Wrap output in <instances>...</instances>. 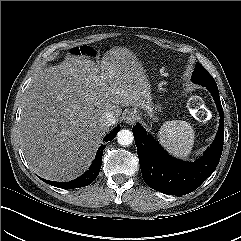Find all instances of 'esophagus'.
<instances>
[{"instance_id": "1", "label": "esophagus", "mask_w": 241, "mask_h": 241, "mask_svg": "<svg viewBox=\"0 0 241 241\" xmlns=\"http://www.w3.org/2000/svg\"><path fill=\"white\" fill-rule=\"evenodd\" d=\"M124 120L127 124L132 125L136 122L137 115L134 112L129 111V112L126 113V115L124 117Z\"/></svg>"}]
</instances>
